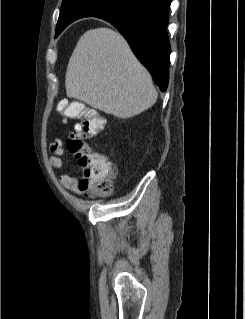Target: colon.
<instances>
[{"label":"colon","mask_w":245,"mask_h":319,"mask_svg":"<svg viewBox=\"0 0 245 319\" xmlns=\"http://www.w3.org/2000/svg\"><path fill=\"white\" fill-rule=\"evenodd\" d=\"M59 111L67 118L78 119L67 140V150L75 156L82 175L78 183L85 195H106L113 189L116 167L102 154L87 147L85 140L104 130L105 120L95 110L77 101H60Z\"/></svg>","instance_id":"colon-1"}]
</instances>
